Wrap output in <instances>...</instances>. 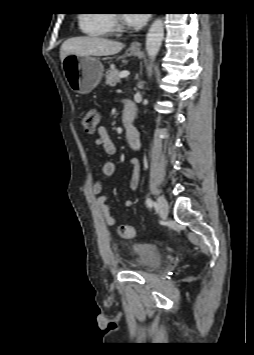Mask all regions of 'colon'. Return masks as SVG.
Instances as JSON below:
<instances>
[{"label": "colon", "mask_w": 254, "mask_h": 355, "mask_svg": "<svg viewBox=\"0 0 254 355\" xmlns=\"http://www.w3.org/2000/svg\"><path fill=\"white\" fill-rule=\"evenodd\" d=\"M99 123V112L95 108L87 109L82 116V124L88 133H94ZM118 233L123 238H132L135 235L133 225H120Z\"/></svg>", "instance_id": "obj_1"}]
</instances>
